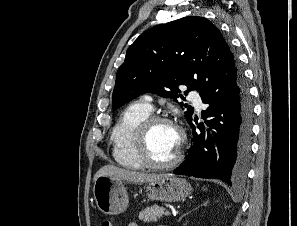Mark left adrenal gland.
<instances>
[{
  "instance_id": "1",
  "label": "left adrenal gland",
  "mask_w": 297,
  "mask_h": 226,
  "mask_svg": "<svg viewBox=\"0 0 297 226\" xmlns=\"http://www.w3.org/2000/svg\"><path fill=\"white\" fill-rule=\"evenodd\" d=\"M207 204H208V201H206L205 203H203L201 206H205V205H207ZM199 207H200V206H198L197 208H199ZM197 208H195V209H197ZM195 209H194V210H195ZM190 212H191V211H189V212L185 213L184 215H182L181 218L179 219V221H181V219H182L184 216L188 215Z\"/></svg>"
}]
</instances>
